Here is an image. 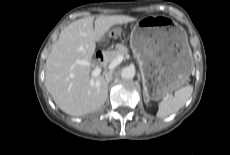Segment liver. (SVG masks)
<instances>
[{"label":"liver","instance_id":"obj_1","mask_svg":"<svg viewBox=\"0 0 230 155\" xmlns=\"http://www.w3.org/2000/svg\"><path fill=\"white\" fill-rule=\"evenodd\" d=\"M135 20L126 15H99L94 21L90 16L69 24L61 31L46 60L45 84L63 112L73 116L86 115L96 112L105 103L108 82L104 75L92 76L90 67L75 61H90L96 42L112 26Z\"/></svg>","mask_w":230,"mask_h":155}]
</instances>
